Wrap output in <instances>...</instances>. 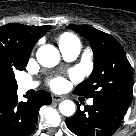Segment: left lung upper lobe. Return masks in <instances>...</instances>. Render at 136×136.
<instances>
[{
    "label": "left lung upper lobe",
    "mask_w": 136,
    "mask_h": 136,
    "mask_svg": "<svg viewBox=\"0 0 136 136\" xmlns=\"http://www.w3.org/2000/svg\"><path fill=\"white\" fill-rule=\"evenodd\" d=\"M90 41L94 69L88 80L74 92L84 97L109 99L129 104L133 95L132 67L118 41L111 35L87 25H70Z\"/></svg>",
    "instance_id": "5c2ea615"
}]
</instances>
